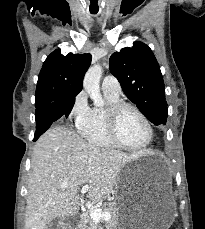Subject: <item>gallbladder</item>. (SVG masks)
<instances>
[{
	"label": "gallbladder",
	"mask_w": 205,
	"mask_h": 229,
	"mask_svg": "<svg viewBox=\"0 0 205 229\" xmlns=\"http://www.w3.org/2000/svg\"><path fill=\"white\" fill-rule=\"evenodd\" d=\"M67 221L68 219L63 220L61 217H57L51 220L47 229H67Z\"/></svg>",
	"instance_id": "1"
}]
</instances>
